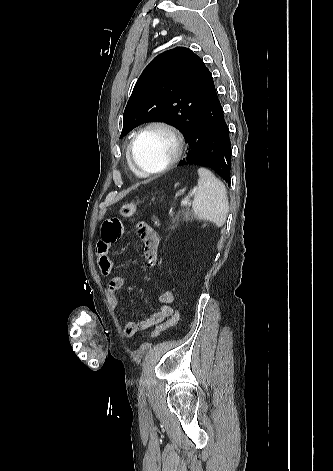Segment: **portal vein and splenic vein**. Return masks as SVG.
<instances>
[{"mask_svg": "<svg viewBox=\"0 0 333 471\" xmlns=\"http://www.w3.org/2000/svg\"><path fill=\"white\" fill-rule=\"evenodd\" d=\"M190 205V197H187L181 201V206Z\"/></svg>", "mask_w": 333, "mask_h": 471, "instance_id": "portal-vein-and-splenic-vein-1", "label": "portal vein and splenic vein"}]
</instances>
